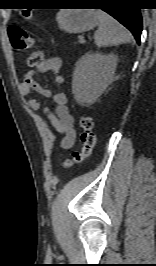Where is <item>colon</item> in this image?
Returning <instances> with one entry per match:
<instances>
[{
    "label": "colon",
    "instance_id": "colon-1",
    "mask_svg": "<svg viewBox=\"0 0 156 266\" xmlns=\"http://www.w3.org/2000/svg\"><path fill=\"white\" fill-rule=\"evenodd\" d=\"M23 17L26 20H31L32 13L30 11H24ZM8 35L11 45L15 50L24 51L33 49L27 60L29 67H37L44 61L43 52L34 48V39L25 29L13 25L8 29ZM93 125L94 124L91 117L86 115H82L80 117V126L82 128V148L79 151L73 152L70 159H67L61 163L63 168H69L75 164H79L92 154L96 142V137L93 132Z\"/></svg>",
    "mask_w": 156,
    "mask_h": 266
}]
</instances>
